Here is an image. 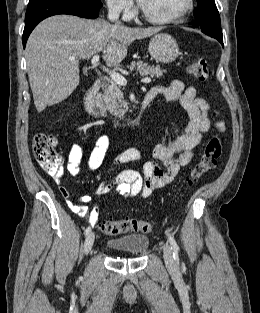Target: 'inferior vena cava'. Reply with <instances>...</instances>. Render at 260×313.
<instances>
[{
	"label": "inferior vena cava",
	"instance_id": "602c4592",
	"mask_svg": "<svg viewBox=\"0 0 260 313\" xmlns=\"http://www.w3.org/2000/svg\"><path fill=\"white\" fill-rule=\"evenodd\" d=\"M108 9H109L108 10V19L112 22H116L117 24H120L118 22L120 12L117 10V8L113 4L109 3Z\"/></svg>",
	"mask_w": 260,
	"mask_h": 313
}]
</instances>
